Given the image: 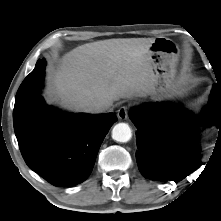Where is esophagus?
<instances>
[{"label":"esophagus","instance_id":"34e87169","mask_svg":"<svg viewBox=\"0 0 221 221\" xmlns=\"http://www.w3.org/2000/svg\"><path fill=\"white\" fill-rule=\"evenodd\" d=\"M128 112H129V107L127 105L121 106L117 111L118 118L121 120L127 119Z\"/></svg>","mask_w":221,"mask_h":221}]
</instances>
